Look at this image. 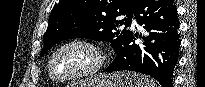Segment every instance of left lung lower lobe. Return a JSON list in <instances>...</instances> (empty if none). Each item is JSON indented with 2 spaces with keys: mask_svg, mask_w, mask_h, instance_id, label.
I'll return each mask as SVG.
<instances>
[{
  "mask_svg": "<svg viewBox=\"0 0 205 87\" xmlns=\"http://www.w3.org/2000/svg\"><path fill=\"white\" fill-rule=\"evenodd\" d=\"M133 14L149 36L139 35L144 42L137 45L138 33H132L121 53L104 71H136L155 78L162 87H173L180 47V25L173 0H139Z\"/></svg>",
  "mask_w": 205,
  "mask_h": 87,
  "instance_id": "0a47b994",
  "label": "left lung lower lobe"
}]
</instances>
